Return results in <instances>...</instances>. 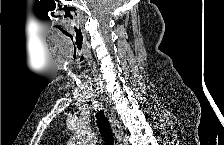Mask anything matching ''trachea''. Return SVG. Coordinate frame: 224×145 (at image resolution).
<instances>
[{"instance_id": "obj_1", "label": "trachea", "mask_w": 224, "mask_h": 145, "mask_svg": "<svg viewBox=\"0 0 224 145\" xmlns=\"http://www.w3.org/2000/svg\"><path fill=\"white\" fill-rule=\"evenodd\" d=\"M97 124L99 130L103 136L106 145H114V136L111 130L110 123L108 119L105 117L102 110L98 111L96 114Z\"/></svg>"}]
</instances>
